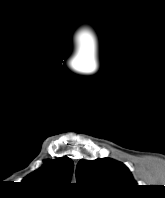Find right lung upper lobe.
<instances>
[{"mask_svg":"<svg viewBox=\"0 0 165 198\" xmlns=\"http://www.w3.org/2000/svg\"><path fill=\"white\" fill-rule=\"evenodd\" d=\"M73 167V161L66 157L45 160L38 170L28 175L23 181L43 187L69 184Z\"/></svg>","mask_w":165,"mask_h":198,"instance_id":"right-lung-upper-lobe-1","label":"right lung upper lobe"}]
</instances>
